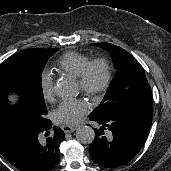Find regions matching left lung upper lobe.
<instances>
[{"instance_id": "obj_1", "label": "left lung upper lobe", "mask_w": 171, "mask_h": 171, "mask_svg": "<svg viewBox=\"0 0 171 171\" xmlns=\"http://www.w3.org/2000/svg\"><path fill=\"white\" fill-rule=\"evenodd\" d=\"M93 45L110 52L117 72L102 102L89 117L133 115L152 119V92L140 63L126 50L116 45L109 43Z\"/></svg>"}]
</instances>
